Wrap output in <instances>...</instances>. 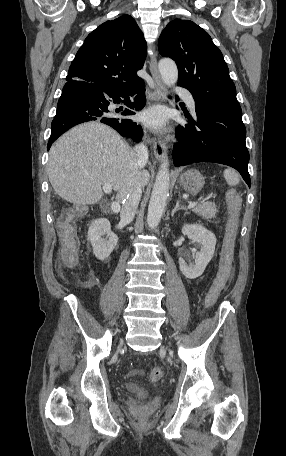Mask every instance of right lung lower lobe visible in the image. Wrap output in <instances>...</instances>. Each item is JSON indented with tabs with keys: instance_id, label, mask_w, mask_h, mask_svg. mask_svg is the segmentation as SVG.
I'll list each match as a JSON object with an SVG mask.
<instances>
[{
	"instance_id": "98d812e1",
	"label": "right lung lower lobe",
	"mask_w": 286,
	"mask_h": 456,
	"mask_svg": "<svg viewBox=\"0 0 286 456\" xmlns=\"http://www.w3.org/2000/svg\"><path fill=\"white\" fill-rule=\"evenodd\" d=\"M144 86L142 80L129 89L107 92L89 83L68 80L57 104V112L51 124L52 130L47 149L49 150L51 144L71 127L93 120L107 124L122 136L130 137L139 142L143 135L142 127L131 119L116 115L119 111H111L109 106L113 103L125 102L130 109H125L121 115H134L133 110H140L145 105ZM138 90L140 91L134 102H130L129 96Z\"/></svg>"
}]
</instances>
